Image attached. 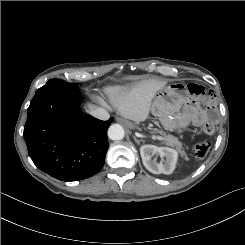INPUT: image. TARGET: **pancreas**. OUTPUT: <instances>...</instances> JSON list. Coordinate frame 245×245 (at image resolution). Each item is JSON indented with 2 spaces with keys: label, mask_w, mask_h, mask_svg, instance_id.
<instances>
[{
  "label": "pancreas",
  "mask_w": 245,
  "mask_h": 245,
  "mask_svg": "<svg viewBox=\"0 0 245 245\" xmlns=\"http://www.w3.org/2000/svg\"><path fill=\"white\" fill-rule=\"evenodd\" d=\"M161 134H163V141H164V143L166 144V145H168V146H171V147H175L178 151H179V153H180V155L183 157V158H187V156H186V153H185V151H184V149H183V145H182V143L178 140V138L177 137H174V136H172V135H165L164 133H162V132H160Z\"/></svg>",
  "instance_id": "pancreas-1"
}]
</instances>
